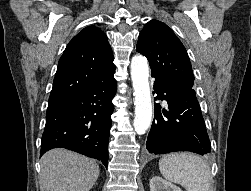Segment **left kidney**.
<instances>
[{"instance_id":"1","label":"left kidney","mask_w":251,"mask_h":191,"mask_svg":"<svg viewBox=\"0 0 251 191\" xmlns=\"http://www.w3.org/2000/svg\"><path fill=\"white\" fill-rule=\"evenodd\" d=\"M150 191H182L178 185H174L171 181H166L160 175H154L150 179Z\"/></svg>"}]
</instances>
